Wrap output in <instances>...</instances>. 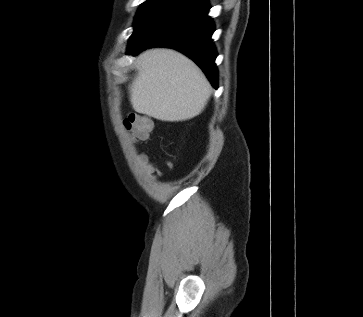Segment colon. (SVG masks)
<instances>
[{
  "label": "colon",
  "mask_w": 363,
  "mask_h": 317,
  "mask_svg": "<svg viewBox=\"0 0 363 317\" xmlns=\"http://www.w3.org/2000/svg\"><path fill=\"white\" fill-rule=\"evenodd\" d=\"M123 125L132 134L134 139H146L152 129L153 122L148 116L129 113L125 117Z\"/></svg>",
  "instance_id": "colon-1"
}]
</instances>
